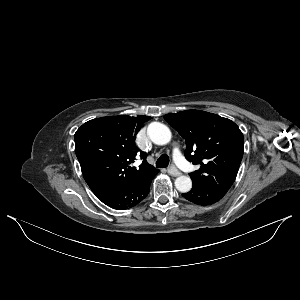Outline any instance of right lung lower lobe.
Masks as SVG:
<instances>
[{
	"instance_id": "98d812e1",
	"label": "right lung lower lobe",
	"mask_w": 300,
	"mask_h": 300,
	"mask_svg": "<svg viewBox=\"0 0 300 300\" xmlns=\"http://www.w3.org/2000/svg\"><path fill=\"white\" fill-rule=\"evenodd\" d=\"M154 175L138 182H130L108 192L96 196L105 205L114 209H127L136 206L145 199L150 191Z\"/></svg>"
}]
</instances>
